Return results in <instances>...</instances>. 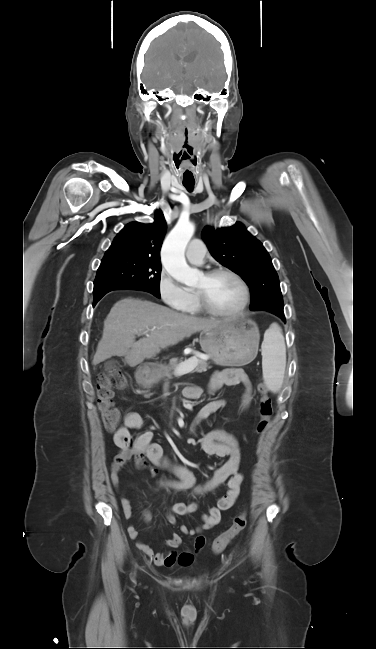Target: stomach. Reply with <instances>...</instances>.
Listing matches in <instances>:
<instances>
[{
	"mask_svg": "<svg viewBox=\"0 0 376 649\" xmlns=\"http://www.w3.org/2000/svg\"><path fill=\"white\" fill-rule=\"evenodd\" d=\"M258 344V327L246 319L224 320L200 333L202 351L221 366H241L251 362L256 357ZM158 373V369L147 370L142 383L153 382Z\"/></svg>",
	"mask_w": 376,
	"mask_h": 649,
	"instance_id": "obj_1",
	"label": "stomach"
}]
</instances>
